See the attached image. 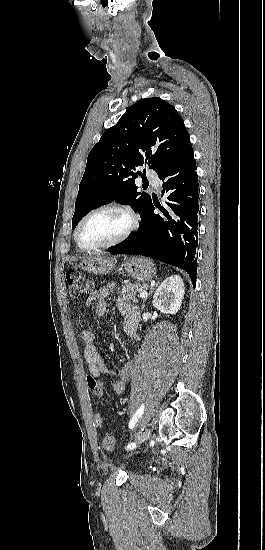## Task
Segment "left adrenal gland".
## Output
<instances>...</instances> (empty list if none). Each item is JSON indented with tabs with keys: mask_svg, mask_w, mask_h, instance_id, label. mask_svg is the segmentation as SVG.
I'll return each instance as SVG.
<instances>
[{
	"mask_svg": "<svg viewBox=\"0 0 265 550\" xmlns=\"http://www.w3.org/2000/svg\"><path fill=\"white\" fill-rule=\"evenodd\" d=\"M145 301H146V299H144V301H143L142 309H144V307H145Z\"/></svg>",
	"mask_w": 265,
	"mask_h": 550,
	"instance_id": "a2214340",
	"label": "left adrenal gland"
}]
</instances>
